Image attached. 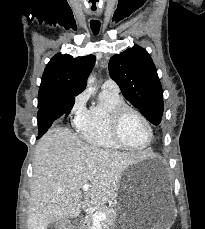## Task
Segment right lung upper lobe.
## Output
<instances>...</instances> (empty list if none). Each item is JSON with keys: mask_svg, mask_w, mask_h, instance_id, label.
<instances>
[{"mask_svg": "<svg viewBox=\"0 0 205 229\" xmlns=\"http://www.w3.org/2000/svg\"><path fill=\"white\" fill-rule=\"evenodd\" d=\"M94 64V55L73 58L71 55L56 54L43 73L38 101L52 103L77 96L85 89Z\"/></svg>", "mask_w": 205, "mask_h": 229, "instance_id": "obj_1", "label": "right lung upper lobe"}]
</instances>
